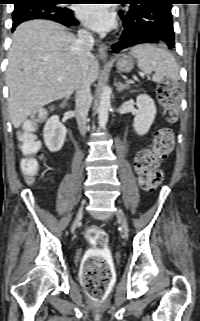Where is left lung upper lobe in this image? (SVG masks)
Instances as JSON below:
<instances>
[{"label": "left lung upper lobe", "instance_id": "obj_1", "mask_svg": "<svg viewBox=\"0 0 200 321\" xmlns=\"http://www.w3.org/2000/svg\"><path fill=\"white\" fill-rule=\"evenodd\" d=\"M121 1H122V4H129V3L135 2L137 0H121ZM170 1H173V0H170Z\"/></svg>", "mask_w": 200, "mask_h": 321}]
</instances>
